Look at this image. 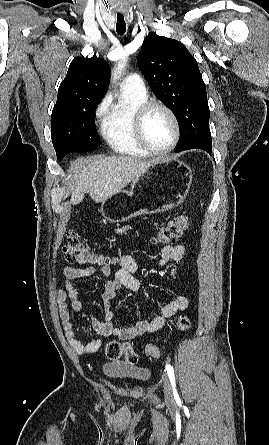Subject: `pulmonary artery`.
<instances>
[{
	"mask_svg": "<svg viewBox=\"0 0 269 445\" xmlns=\"http://www.w3.org/2000/svg\"><path fill=\"white\" fill-rule=\"evenodd\" d=\"M121 89L130 90L140 95L146 94V88L143 79L136 73L127 76L122 81Z\"/></svg>",
	"mask_w": 269,
	"mask_h": 445,
	"instance_id": "pulmonary-artery-1",
	"label": "pulmonary artery"
}]
</instances>
